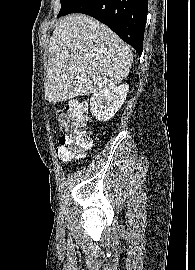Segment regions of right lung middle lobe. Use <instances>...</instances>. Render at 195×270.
I'll return each instance as SVG.
<instances>
[{
  "mask_svg": "<svg viewBox=\"0 0 195 270\" xmlns=\"http://www.w3.org/2000/svg\"><path fill=\"white\" fill-rule=\"evenodd\" d=\"M76 0H61V9L59 16L63 15Z\"/></svg>",
  "mask_w": 195,
  "mask_h": 270,
  "instance_id": "1",
  "label": "right lung middle lobe"
}]
</instances>
